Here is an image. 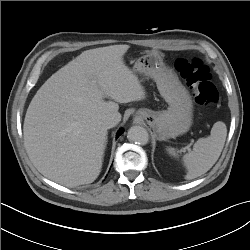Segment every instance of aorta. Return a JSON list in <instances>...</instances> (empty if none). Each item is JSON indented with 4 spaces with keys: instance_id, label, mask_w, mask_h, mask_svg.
I'll use <instances>...</instances> for the list:
<instances>
[{
    "instance_id": "762f6f07",
    "label": "aorta",
    "mask_w": 250,
    "mask_h": 250,
    "mask_svg": "<svg viewBox=\"0 0 250 250\" xmlns=\"http://www.w3.org/2000/svg\"><path fill=\"white\" fill-rule=\"evenodd\" d=\"M127 138L130 142L146 145L149 141V134L144 127L136 125L128 130Z\"/></svg>"
}]
</instances>
